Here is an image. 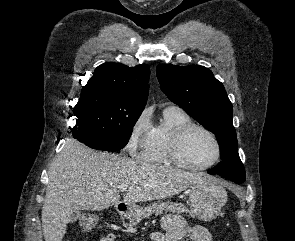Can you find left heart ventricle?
<instances>
[{"label": "left heart ventricle", "instance_id": "obj_1", "mask_svg": "<svg viewBox=\"0 0 295 241\" xmlns=\"http://www.w3.org/2000/svg\"><path fill=\"white\" fill-rule=\"evenodd\" d=\"M216 147L208 134L199 129L191 130L184 138L180 154L191 165H205L213 160Z\"/></svg>", "mask_w": 295, "mask_h": 241}]
</instances>
